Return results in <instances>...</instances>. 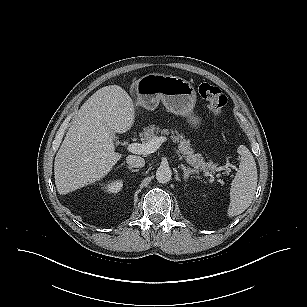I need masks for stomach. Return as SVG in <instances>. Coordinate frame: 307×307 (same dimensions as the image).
Segmentation results:
<instances>
[{"label": "stomach", "instance_id": "1", "mask_svg": "<svg viewBox=\"0 0 307 307\" xmlns=\"http://www.w3.org/2000/svg\"><path fill=\"white\" fill-rule=\"evenodd\" d=\"M135 106L154 110L159 101L176 115L186 118L193 127L201 125V118L194 114L196 91L193 85L178 76L151 73L138 79Z\"/></svg>", "mask_w": 307, "mask_h": 307}]
</instances>
